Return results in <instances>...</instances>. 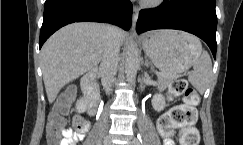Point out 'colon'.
Segmentation results:
<instances>
[{"instance_id": "1", "label": "colon", "mask_w": 243, "mask_h": 145, "mask_svg": "<svg viewBox=\"0 0 243 145\" xmlns=\"http://www.w3.org/2000/svg\"><path fill=\"white\" fill-rule=\"evenodd\" d=\"M169 91L172 95L182 96L184 104L173 107L162 115L157 123L158 130L162 136L169 137L175 129L181 130V145H199L200 135L194 127L196 122V110L193 105L197 102L196 91L190 87L185 79L177 78L172 81ZM72 99V92H67L57 101L54 111L49 115L46 127L49 145H61V135L65 125V115L68 112ZM78 131L87 128L83 119L74 122Z\"/></svg>"}]
</instances>
